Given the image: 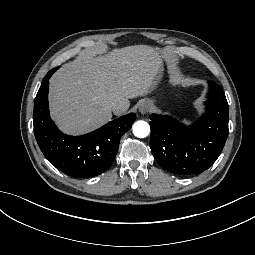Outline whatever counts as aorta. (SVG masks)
<instances>
[{
    "label": "aorta",
    "instance_id": "obj_1",
    "mask_svg": "<svg viewBox=\"0 0 255 255\" xmlns=\"http://www.w3.org/2000/svg\"><path fill=\"white\" fill-rule=\"evenodd\" d=\"M132 129L134 135L138 138H145L150 132V126L145 121H137L134 123Z\"/></svg>",
    "mask_w": 255,
    "mask_h": 255
}]
</instances>
